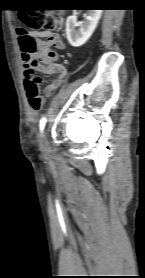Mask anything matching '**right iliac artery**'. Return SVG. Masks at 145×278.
Returning <instances> with one entry per match:
<instances>
[{
  "mask_svg": "<svg viewBox=\"0 0 145 278\" xmlns=\"http://www.w3.org/2000/svg\"><path fill=\"white\" fill-rule=\"evenodd\" d=\"M46 123V119L42 118L40 121V131L42 132Z\"/></svg>",
  "mask_w": 145,
  "mask_h": 278,
  "instance_id": "right-iliac-artery-1",
  "label": "right iliac artery"
}]
</instances>
